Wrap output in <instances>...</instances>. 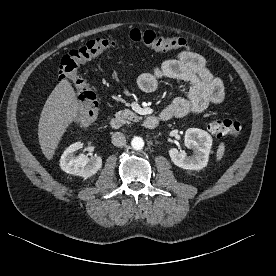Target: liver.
<instances>
[{
    "mask_svg": "<svg viewBox=\"0 0 276 276\" xmlns=\"http://www.w3.org/2000/svg\"><path fill=\"white\" fill-rule=\"evenodd\" d=\"M79 112V103L74 88L68 80L60 81L47 98L42 109L38 138L44 156L51 160L56 148Z\"/></svg>",
    "mask_w": 276,
    "mask_h": 276,
    "instance_id": "obj_1",
    "label": "liver"
}]
</instances>
